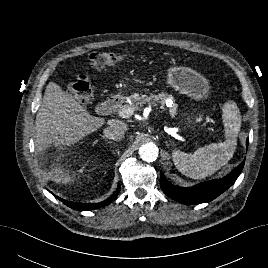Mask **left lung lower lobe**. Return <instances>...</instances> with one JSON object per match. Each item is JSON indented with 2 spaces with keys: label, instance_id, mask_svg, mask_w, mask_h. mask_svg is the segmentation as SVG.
<instances>
[{
  "label": "left lung lower lobe",
  "instance_id": "1",
  "mask_svg": "<svg viewBox=\"0 0 268 268\" xmlns=\"http://www.w3.org/2000/svg\"><path fill=\"white\" fill-rule=\"evenodd\" d=\"M246 145H248V140ZM244 162L222 179L206 181L189 188L171 184L160 172V186L167 196L181 203L199 204L209 202L234 184L244 167Z\"/></svg>",
  "mask_w": 268,
  "mask_h": 268
}]
</instances>
